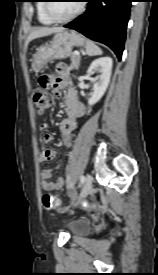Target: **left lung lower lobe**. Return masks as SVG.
Returning <instances> with one entry per match:
<instances>
[{"instance_id": "obj_1", "label": "left lung lower lobe", "mask_w": 158, "mask_h": 275, "mask_svg": "<svg viewBox=\"0 0 158 275\" xmlns=\"http://www.w3.org/2000/svg\"><path fill=\"white\" fill-rule=\"evenodd\" d=\"M86 12L65 25L110 47L121 59L132 0H88Z\"/></svg>"}]
</instances>
